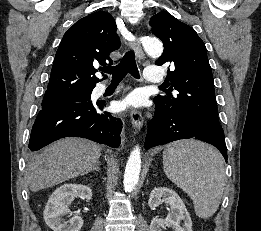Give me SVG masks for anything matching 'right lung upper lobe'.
I'll use <instances>...</instances> for the list:
<instances>
[{
  "label": "right lung upper lobe",
  "mask_w": 261,
  "mask_h": 231,
  "mask_svg": "<svg viewBox=\"0 0 261 231\" xmlns=\"http://www.w3.org/2000/svg\"><path fill=\"white\" fill-rule=\"evenodd\" d=\"M120 40L114 18L95 12L77 21L64 34L53 62L45 93L92 90L98 79L95 65L112 64L109 55Z\"/></svg>",
  "instance_id": "obj_1"
}]
</instances>
